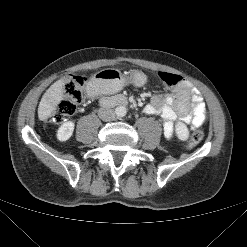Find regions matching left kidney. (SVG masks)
I'll use <instances>...</instances> for the list:
<instances>
[{
	"instance_id": "1",
	"label": "left kidney",
	"mask_w": 247,
	"mask_h": 247,
	"mask_svg": "<svg viewBox=\"0 0 247 247\" xmlns=\"http://www.w3.org/2000/svg\"><path fill=\"white\" fill-rule=\"evenodd\" d=\"M175 132L178 139L185 141L189 137V130L183 122H177L175 125Z\"/></svg>"
}]
</instances>
